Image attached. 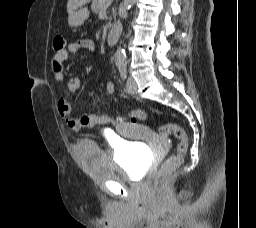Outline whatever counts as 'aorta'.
<instances>
[{
    "label": "aorta",
    "instance_id": "762f6f07",
    "mask_svg": "<svg viewBox=\"0 0 256 228\" xmlns=\"http://www.w3.org/2000/svg\"><path fill=\"white\" fill-rule=\"evenodd\" d=\"M136 0H123L124 7H130L135 3ZM115 63L117 66L126 65V54L125 50L121 47H118L115 52Z\"/></svg>",
    "mask_w": 256,
    "mask_h": 228
}]
</instances>
